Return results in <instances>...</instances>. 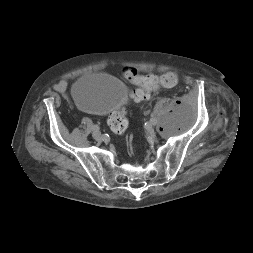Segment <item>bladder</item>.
I'll list each match as a JSON object with an SVG mask.
<instances>
[{
    "label": "bladder",
    "mask_w": 253,
    "mask_h": 253,
    "mask_svg": "<svg viewBox=\"0 0 253 253\" xmlns=\"http://www.w3.org/2000/svg\"><path fill=\"white\" fill-rule=\"evenodd\" d=\"M74 101L84 110L106 114L119 110L128 98V89L120 80L102 73L80 77L73 85Z\"/></svg>",
    "instance_id": "obj_1"
}]
</instances>
